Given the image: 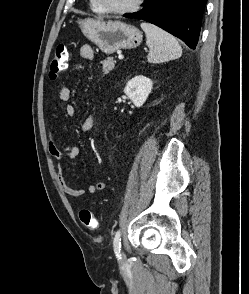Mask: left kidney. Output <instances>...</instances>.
I'll return each mask as SVG.
<instances>
[{"label":"left kidney","mask_w":249,"mask_h":294,"mask_svg":"<svg viewBox=\"0 0 249 294\" xmlns=\"http://www.w3.org/2000/svg\"><path fill=\"white\" fill-rule=\"evenodd\" d=\"M151 90L152 81L143 75H138L128 81L124 88V93L139 108L145 103Z\"/></svg>","instance_id":"obj_1"}]
</instances>
